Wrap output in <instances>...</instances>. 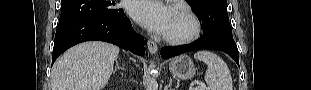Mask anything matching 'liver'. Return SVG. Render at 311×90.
I'll list each match as a JSON object with an SVG mask.
<instances>
[{"instance_id": "1", "label": "liver", "mask_w": 311, "mask_h": 90, "mask_svg": "<svg viewBox=\"0 0 311 90\" xmlns=\"http://www.w3.org/2000/svg\"><path fill=\"white\" fill-rule=\"evenodd\" d=\"M118 54L117 46L99 41L70 48L54 63L52 90H102L111 77Z\"/></svg>"}]
</instances>
